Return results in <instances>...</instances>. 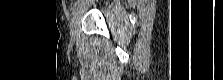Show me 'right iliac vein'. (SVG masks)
<instances>
[{"mask_svg":"<svg viewBox=\"0 0 223 80\" xmlns=\"http://www.w3.org/2000/svg\"><path fill=\"white\" fill-rule=\"evenodd\" d=\"M77 24H78V13H75L72 21H71V25H70V31H71V35L74 37L76 34V28H77Z\"/></svg>","mask_w":223,"mask_h":80,"instance_id":"63e3f726","label":"right iliac vein"}]
</instances>
